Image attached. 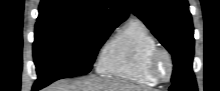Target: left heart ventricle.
<instances>
[{
	"instance_id": "b2bd125f",
	"label": "left heart ventricle",
	"mask_w": 220,
	"mask_h": 91,
	"mask_svg": "<svg viewBox=\"0 0 220 91\" xmlns=\"http://www.w3.org/2000/svg\"><path fill=\"white\" fill-rule=\"evenodd\" d=\"M160 72H161L162 75H166L167 72H168L167 63H166L165 61H162V62H161Z\"/></svg>"
}]
</instances>
